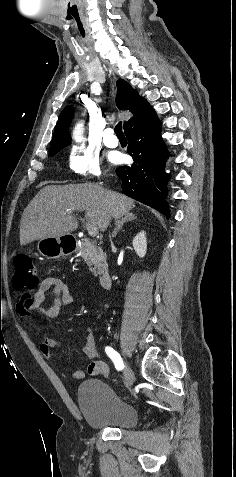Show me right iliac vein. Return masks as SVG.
I'll list each match as a JSON object with an SVG mask.
<instances>
[{
	"mask_svg": "<svg viewBox=\"0 0 236 477\" xmlns=\"http://www.w3.org/2000/svg\"><path fill=\"white\" fill-rule=\"evenodd\" d=\"M125 380H126V389L130 390L131 386L134 383V373L129 365H125ZM125 388L124 386L122 387Z\"/></svg>",
	"mask_w": 236,
	"mask_h": 477,
	"instance_id": "63e3f726",
	"label": "right iliac vein"
}]
</instances>
